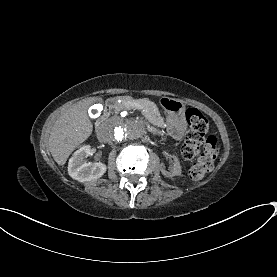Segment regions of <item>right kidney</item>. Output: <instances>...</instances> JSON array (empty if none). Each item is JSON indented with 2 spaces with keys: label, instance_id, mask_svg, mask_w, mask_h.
<instances>
[{
  "label": "right kidney",
  "instance_id": "right-kidney-1",
  "mask_svg": "<svg viewBox=\"0 0 277 277\" xmlns=\"http://www.w3.org/2000/svg\"><path fill=\"white\" fill-rule=\"evenodd\" d=\"M92 156L91 148L83 146L77 150L70 158L68 165L69 176L81 183L93 181L101 178L107 172V165L105 163L90 164L85 161L87 157Z\"/></svg>",
  "mask_w": 277,
  "mask_h": 277
}]
</instances>
